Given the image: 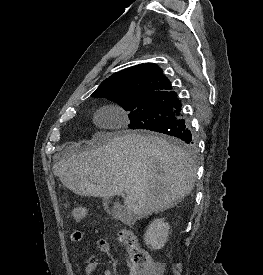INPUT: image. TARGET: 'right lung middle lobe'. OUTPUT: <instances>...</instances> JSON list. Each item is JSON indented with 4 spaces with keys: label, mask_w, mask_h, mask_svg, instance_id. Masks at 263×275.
I'll return each instance as SVG.
<instances>
[{
    "label": "right lung middle lobe",
    "mask_w": 263,
    "mask_h": 275,
    "mask_svg": "<svg viewBox=\"0 0 263 275\" xmlns=\"http://www.w3.org/2000/svg\"><path fill=\"white\" fill-rule=\"evenodd\" d=\"M93 97L108 98L120 104L129 111L131 129H145L153 131L155 128L166 125L181 117V102L177 96L154 95L136 96L124 91H104L92 94ZM175 143L192 149L190 145H184L178 140Z\"/></svg>",
    "instance_id": "obj_1"
}]
</instances>
